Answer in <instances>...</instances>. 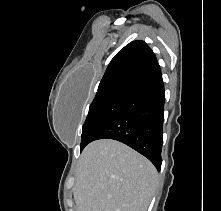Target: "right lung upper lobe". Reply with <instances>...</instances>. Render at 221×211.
<instances>
[{"instance_id":"obj_1","label":"right lung upper lobe","mask_w":221,"mask_h":211,"mask_svg":"<svg viewBox=\"0 0 221 211\" xmlns=\"http://www.w3.org/2000/svg\"><path fill=\"white\" fill-rule=\"evenodd\" d=\"M161 78L160 66L153 51L145 42L133 41L111 60L96 95L118 88L136 90Z\"/></svg>"}]
</instances>
